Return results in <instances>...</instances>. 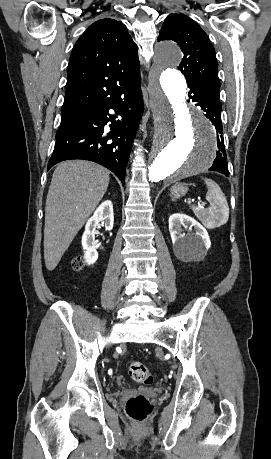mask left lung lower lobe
Instances as JSON below:
<instances>
[{"label":"left lung lower lobe","mask_w":271,"mask_h":459,"mask_svg":"<svg viewBox=\"0 0 271 459\" xmlns=\"http://www.w3.org/2000/svg\"><path fill=\"white\" fill-rule=\"evenodd\" d=\"M190 88L189 98L200 106L206 112V118H209L215 126L216 132V159L209 170L218 171L226 176H229L227 155L224 146L223 127L221 122V103L219 98L220 89H214L209 84L188 86Z\"/></svg>","instance_id":"left-lung-lower-lobe-1"}]
</instances>
